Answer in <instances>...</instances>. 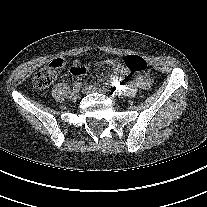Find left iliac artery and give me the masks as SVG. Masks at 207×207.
Returning a JSON list of instances; mask_svg holds the SVG:
<instances>
[{
	"label": "left iliac artery",
	"instance_id": "left-iliac-artery-1",
	"mask_svg": "<svg viewBox=\"0 0 207 207\" xmlns=\"http://www.w3.org/2000/svg\"><path fill=\"white\" fill-rule=\"evenodd\" d=\"M107 90L111 91L113 93V96H120L122 94L121 89L116 90L115 88H112L111 86H108Z\"/></svg>",
	"mask_w": 207,
	"mask_h": 207
}]
</instances>
